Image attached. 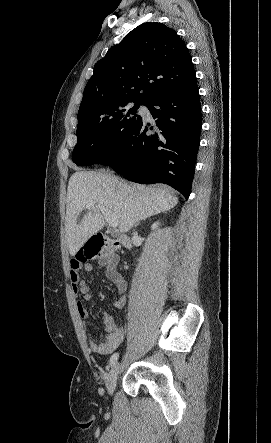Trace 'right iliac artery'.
Instances as JSON below:
<instances>
[{
	"label": "right iliac artery",
	"instance_id": "obj_1",
	"mask_svg": "<svg viewBox=\"0 0 271 443\" xmlns=\"http://www.w3.org/2000/svg\"><path fill=\"white\" fill-rule=\"evenodd\" d=\"M119 358V353H114L110 358V366H114Z\"/></svg>",
	"mask_w": 271,
	"mask_h": 443
}]
</instances>
